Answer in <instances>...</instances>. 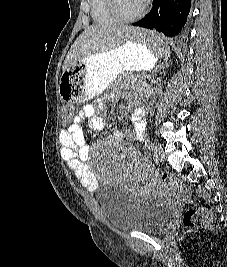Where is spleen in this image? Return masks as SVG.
<instances>
[{"mask_svg": "<svg viewBox=\"0 0 227 267\" xmlns=\"http://www.w3.org/2000/svg\"><path fill=\"white\" fill-rule=\"evenodd\" d=\"M126 30H137V25H126ZM161 35V31H152V27H145V31L141 33H128V38H131V43H142V47H149L157 63H170L172 46H167L169 38H158Z\"/></svg>", "mask_w": 227, "mask_h": 267, "instance_id": "1", "label": "spleen"}]
</instances>
